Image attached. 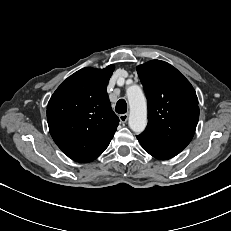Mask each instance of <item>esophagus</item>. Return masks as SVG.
<instances>
[{
    "instance_id": "1",
    "label": "esophagus",
    "mask_w": 231,
    "mask_h": 231,
    "mask_svg": "<svg viewBox=\"0 0 231 231\" xmlns=\"http://www.w3.org/2000/svg\"><path fill=\"white\" fill-rule=\"evenodd\" d=\"M119 119H120V122H121V123H126L127 120H128V114H127V113H126V114H121V115L119 116Z\"/></svg>"
}]
</instances>
